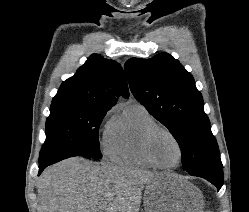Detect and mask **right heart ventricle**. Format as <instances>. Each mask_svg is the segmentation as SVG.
<instances>
[{"instance_id": "1", "label": "right heart ventricle", "mask_w": 249, "mask_h": 212, "mask_svg": "<svg viewBox=\"0 0 249 212\" xmlns=\"http://www.w3.org/2000/svg\"><path fill=\"white\" fill-rule=\"evenodd\" d=\"M157 125L154 116L141 103L125 105L121 114L107 126L104 143L106 156L120 164L154 168L144 155L142 141L145 132Z\"/></svg>"}]
</instances>
